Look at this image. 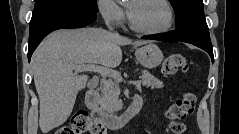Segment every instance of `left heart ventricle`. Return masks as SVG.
Here are the masks:
<instances>
[{
  "mask_svg": "<svg viewBox=\"0 0 239 134\" xmlns=\"http://www.w3.org/2000/svg\"><path fill=\"white\" fill-rule=\"evenodd\" d=\"M131 20L139 27L157 29L167 20L166 9L152 0H132L127 2Z\"/></svg>",
  "mask_w": 239,
  "mask_h": 134,
  "instance_id": "left-heart-ventricle-1",
  "label": "left heart ventricle"
}]
</instances>
